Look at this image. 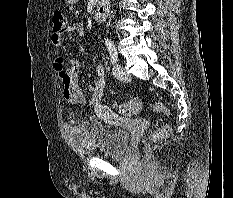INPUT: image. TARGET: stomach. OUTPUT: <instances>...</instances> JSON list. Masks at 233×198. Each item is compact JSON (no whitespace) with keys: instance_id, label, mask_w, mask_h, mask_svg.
Returning <instances> with one entry per match:
<instances>
[{"instance_id":"1","label":"stomach","mask_w":233,"mask_h":198,"mask_svg":"<svg viewBox=\"0 0 233 198\" xmlns=\"http://www.w3.org/2000/svg\"><path fill=\"white\" fill-rule=\"evenodd\" d=\"M67 4H75L78 0H65Z\"/></svg>"}]
</instances>
